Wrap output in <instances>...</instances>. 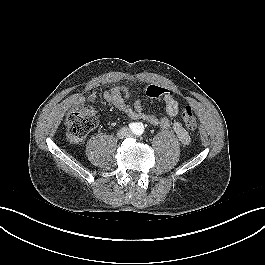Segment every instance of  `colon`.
<instances>
[{"mask_svg": "<svg viewBox=\"0 0 265 265\" xmlns=\"http://www.w3.org/2000/svg\"><path fill=\"white\" fill-rule=\"evenodd\" d=\"M147 96L155 99L162 98L166 89L160 86L151 85L146 87ZM182 120L186 128L193 130L196 128L197 120L193 109L187 105L182 111ZM97 116L92 107L85 106L71 112L66 119L67 137L73 144L81 143L84 138L96 127Z\"/></svg>", "mask_w": 265, "mask_h": 265, "instance_id": "1", "label": "colon"}]
</instances>
